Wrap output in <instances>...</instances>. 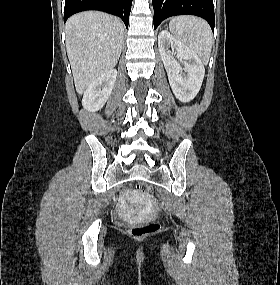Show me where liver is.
<instances>
[{
	"label": "liver",
	"mask_w": 280,
	"mask_h": 285,
	"mask_svg": "<svg viewBox=\"0 0 280 285\" xmlns=\"http://www.w3.org/2000/svg\"><path fill=\"white\" fill-rule=\"evenodd\" d=\"M123 38V23L112 15L86 11L68 19L66 48L77 93L115 67Z\"/></svg>",
	"instance_id": "obj_1"
}]
</instances>
